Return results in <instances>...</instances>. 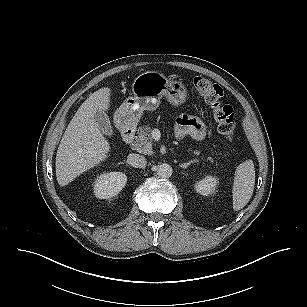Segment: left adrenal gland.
<instances>
[{
  "instance_id": "obj_1",
  "label": "left adrenal gland",
  "mask_w": 307,
  "mask_h": 307,
  "mask_svg": "<svg viewBox=\"0 0 307 307\" xmlns=\"http://www.w3.org/2000/svg\"><path fill=\"white\" fill-rule=\"evenodd\" d=\"M194 162H195V160H191V161H189V162H187V163L179 164V166H180L181 168L186 169L191 163H194Z\"/></svg>"
}]
</instances>
